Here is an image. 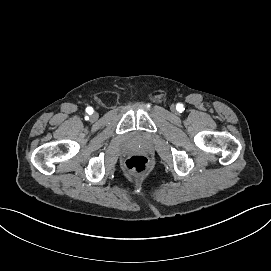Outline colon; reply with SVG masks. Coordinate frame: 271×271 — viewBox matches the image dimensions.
<instances>
[{
    "label": "colon",
    "instance_id": "obj_1",
    "mask_svg": "<svg viewBox=\"0 0 271 271\" xmlns=\"http://www.w3.org/2000/svg\"><path fill=\"white\" fill-rule=\"evenodd\" d=\"M125 169L133 175H141L149 168V159L143 155L129 157L125 161Z\"/></svg>",
    "mask_w": 271,
    "mask_h": 271
}]
</instances>
